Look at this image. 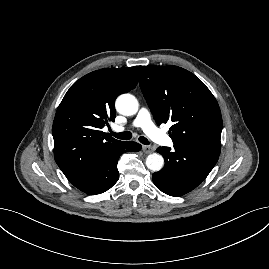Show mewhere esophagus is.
Wrapping results in <instances>:
<instances>
[{
    "mask_svg": "<svg viewBox=\"0 0 269 269\" xmlns=\"http://www.w3.org/2000/svg\"><path fill=\"white\" fill-rule=\"evenodd\" d=\"M142 150L145 154H150L153 152V148L149 145H143Z\"/></svg>",
    "mask_w": 269,
    "mask_h": 269,
    "instance_id": "obj_1",
    "label": "esophagus"
}]
</instances>
